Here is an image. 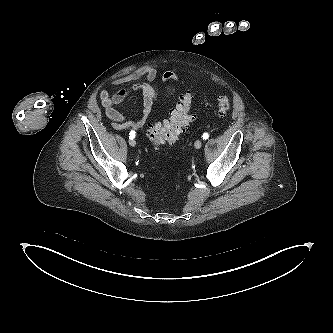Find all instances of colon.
<instances>
[{"instance_id":"colon-1","label":"colon","mask_w":333,"mask_h":333,"mask_svg":"<svg viewBox=\"0 0 333 333\" xmlns=\"http://www.w3.org/2000/svg\"><path fill=\"white\" fill-rule=\"evenodd\" d=\"M193 95L188 93L180 98L179 103L172 109L168 119L164 122L154 121L146 129L151 144L157 148L164 143H175L193 121L191 112ZM217 108L220 114H226L230 109V102L226 96L217 97Z\"/></svg>"}]
</instances>
